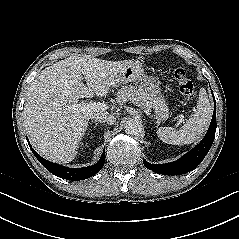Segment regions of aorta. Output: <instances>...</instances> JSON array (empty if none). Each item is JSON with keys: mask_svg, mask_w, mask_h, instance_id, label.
Wrapping results in <instances>:
<instances>
[{"mask_svg": "<svg viewBox=\"0 0 239 239\" xmlns=\"http://www.w3.org/2000/svg\"><path fill=\"white\" fill-rule=\"evenodd\" d=\"M124 129L129 135H139L143 131V125L138 119H130L125 123Z\"/></svg>", "mask_w": 239, "mask_h": 239, "instance_id": "aorta-1", "label": "aorta"}]
</instances>
